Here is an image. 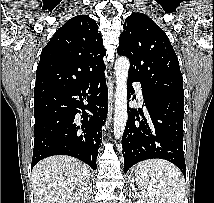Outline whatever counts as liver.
<instances>
[{"instance_id": "6515ba94", "label": "liver", "mask_w": 214, "mask_h": 203, "mask_svg": "<svg viewBox=\"0 0 214 203\" xmlns=\"http://www.w3.org/2000/svg\"><path fill=\"white\" fill-rule=\"evenodd\" d=\"M35 203H85L92 192L91 172L80 160L48 157L33 168Z\"/></svg>"}]
</instances>
